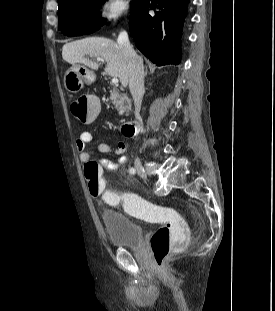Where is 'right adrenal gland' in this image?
<instances>
[{
	"label": "right adrenal gland",
	"mask_w": 275,
	"mask_h": 311,
	"mask_svg": "<svg viewBox=\"0 0 275 311\" xmlns=\"http://www.w3.org/2000/svg\"><path fill=\"white\" fill-rule=\"evenodd\" d=\"M147 74H148V71H147V69H146V71H145V76H147Z\"/></svg>",
	"instance_id": "1"
}]
</instances>
